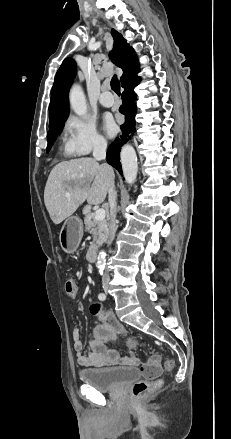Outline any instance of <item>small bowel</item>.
<instances>
[{
	"mask_svg": "<svg viewBox=\"0 0 231 439\" xmlns=\"http://www.w3.org/2000/svg\"><path fill=\"white\" fill-rule=\"evenodd\" d=\"M102 322L93 327L90 340V351H83L80 330L75 326L72 330L73 348L77 362L81 367H104L111 365L133 366L138 363L134 353L130 352L125 357H120L115 349L108 344L117 340L125 332L123 325L111 312H106L101 318Z\"/></svg>",
	"mask_w": 231,
	"mask_h": 439,
	"instance_id": "1",
	"label": "small bowel"
}]
</instances>
